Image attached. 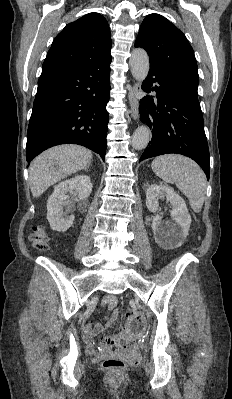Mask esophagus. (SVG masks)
<instances>
[{"label":"esophagus","instance_id":"34e87169","mask_svg":"<svg viewBox=\"0 0 232 399\" xmlns=\"http://www.w3.org/2000/svg\"><path fill=\"white\" fill-rule=\"evenodd\" d=\"M140 90H141V86L137 83L132 86V88L128 94V101H129V104L131 107V116L134 118V120H136L139 115V111H138L139 102L137 100L136 94Z\"/></svg>","mask_w":232,"mask_h":399}]
</instances>
